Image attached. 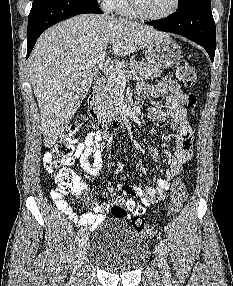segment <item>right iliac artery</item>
Here are the masks:
<instances>
[{"label": "right iliac artery", "instance_id": "obj_1", "mask_svg": "<svg viewBox=\"0 0 233 286\" xmlns=\"http://www.w3.org/2000/svg\"><path fill=\"white\" fill-rule=\"evenodd\" d=\"M83 234H84V229L81 228V229L78 231V233H77L76 239H77L78 241H80V238L83 236Z\"/></svg>", "mask_w": 233, "mask_h": 286}]
</instances>
